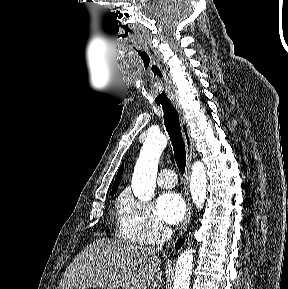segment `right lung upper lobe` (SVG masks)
Here are the masks:
<instances>
[{
    "instance_id": "cb5924a9",
    "label": "right lung upper lobe",
    "mask_w": 288,
    "mask_h": 289,
    "mask_svg": "<svg viewBox=\"0 0 288 289\" xmlns=\"http://www.w3.org/2000/svg\"><path fill=\"white\" fill-rule=\"evenodd\" d=\"M123 166H124V165L122 164V165L120 166V168H119L118 174H117L116 179H115V182H114V184H113L112 191L117 190V188H118V185H119L120 180H121V178H122Z\"/></svg>"
}]
</instances>
